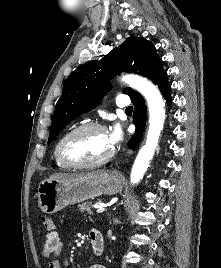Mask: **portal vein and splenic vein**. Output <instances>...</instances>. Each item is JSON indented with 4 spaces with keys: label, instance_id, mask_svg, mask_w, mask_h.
Returning <instances> with one entry per match:
<instances>
[{
    "label": "portal vein and splenic vein",
    "instance_id": "1",
    "mask_svg": "<svg viewBox=\"0 0 221 268\" xmlns=\"http://www.w3.org/2000/svg\"><path fill=\"white\" fill-rule=\"evenodd\" d=\"M95 208H97L96 210L97 213H103L105 211L104 205L95 206Z\"/></svg>",
    "mask_w": 221,
    "mask_h": 268
}]
</instances>
